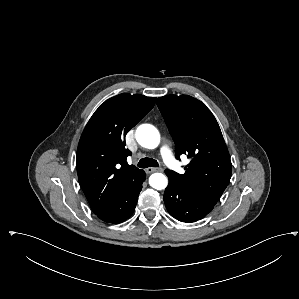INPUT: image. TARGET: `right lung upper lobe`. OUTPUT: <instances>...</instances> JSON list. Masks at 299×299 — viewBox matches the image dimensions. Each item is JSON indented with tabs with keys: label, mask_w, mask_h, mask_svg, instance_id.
Returning a JSON list of instances; mask_svg holds the SVG:
<instances>
[{
	"label": "right lung upper lobe",
	"mask_w": 299,
	"mask_h": 299,
	"mask_svg": "<svg viewBox=\"0 0 299 299\" xmlns=\"http://www.w3.org/2000/svg\"><path fill=\"white\" fill-rule=\"evenodd\" d=\"M156 98L119 94L92 115L80 138L76 166L94 213L111 203L143 171L127 164L124 137L154 106Z\"/></svg>",
	"instance_id": "cb5924a9"
}]
</instances>
